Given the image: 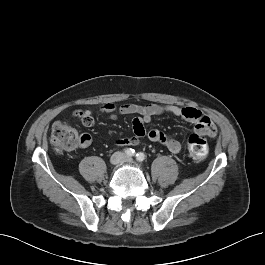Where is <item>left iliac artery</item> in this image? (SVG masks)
<instances>
[{"mask_svg":"<svg viewBox=\"0 0 265 265\" xmlns=\"http://www.w3.org/2000/svg\"><path fill=\"white\" fill-rule=\"evenodd\" d=\"M136 159H137L139 162L144 161V159H145V155H144V153H142V152L137 153V154H136Z\"/></svg>","mask_w":265,"mask_h":265,"instance_id":"1","label":"left iliac artery"}]
</instances>
